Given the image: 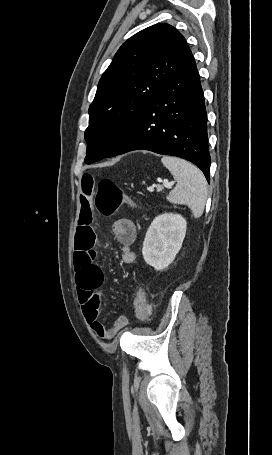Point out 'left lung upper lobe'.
I'll return each instance as SVG.
<instances>
[{
	"label": "left lung upper lobe",
	"instance_id": "1",
	"mask_svg": "<svg viewBox=\"0 0 272 455\" xmlns=\"http://www.w3.org/2000/svg\"><path fill=\"white\" fill-rule=\"evenodd\" d=\"M192 61L185 38L168 24L150 26L123 43L89 107L85 163L109 157L146 106Z\"/></svg>",
	"mask_w": 272,
	"mask_h": 455
}]
</instances>
